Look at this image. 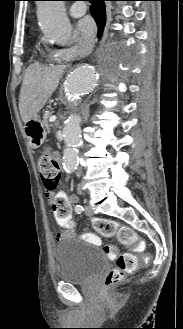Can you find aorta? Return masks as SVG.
Here are the masks:
<instances>
[{
    "label": "aorta",
    "mask_w": 183,
    "mask_h": 329,
    "mask_svg": "<svg viewBox=\"0 0 183 329\" xmlns=\"http://www.w3.org/2000/svg\"><path fill=\"white\" fill-rule=\"evenodd\" d=\"M37 15L39 26L49 39L65 45L71 35V24L64 11L63 1H38ZM100 67L87 63L76 67L68 76L65 94L69 102H76L82 95L91 93L97 87ZM65 149L63 151L64 169L71 173L78 165V147L81 143V118L71 114L63 128Z\"/></svg>",
    "instance_id": "obj_1"
}]
</instances>
